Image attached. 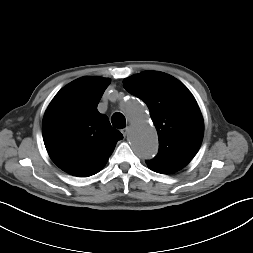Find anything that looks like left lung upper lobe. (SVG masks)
Masks as SVG:
<instances>
[{
  "label": "left lung upper lobe",
  "instance_id": "left-lung-upper-lobe-1",
  "mask_svg": "<svg viewBox=\"0 0 253 253\" xmlns=\"http://www.w3.org/2000/svg\"><path fill=\"white\" fill-rule=\"evenodd\" d=\"M123 86L146 103L158 131L159 152L146 161L148 166L166 173L182 169L198 152L204 133L203 117L191 92L158 71L130 76Z\"/></svg>",
  "mask_w": 253,
  "mask_h": 253
}]
</instances>
